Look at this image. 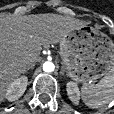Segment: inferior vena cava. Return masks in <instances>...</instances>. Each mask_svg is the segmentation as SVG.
<instances>
[{
  "instance_id": "1",
  "label": "inferior vena cava",
  "mask_w": 114,
  "mask_h": 114,
  "mask_svg": "<svg viewBox=\"0 0 114 114\" xmlns=\"http://www.w3.org/2000/svg\"><path fill=\"white\" fill-rule=\"evenodd\" d=\"M28 67H31L32 65H35V62L34 61H30L27 63Z\"/></svg>"
}]
</instances>
